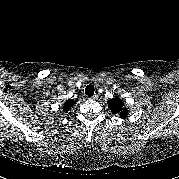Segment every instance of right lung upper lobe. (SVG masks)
<instances>
[{
  "instance_id": "1",
  "label": "right lung upper lobe",
  "mask_w": 179,
  "mask_h": 179,
  "mask_svg": "<svg viewBox=\"0 0 179 179\" xmlns=\"http://www.w3.org/2000/svg\"><path fill=\"white\" fill-rule=\"evenodd\" d=\"M75 102L73 100H67L63 106L64 110H69Z\"/></svg>"
}]
</instances>
